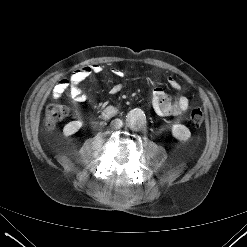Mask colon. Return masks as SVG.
<instances>
[{"mask_svg": "<svg viewBox=\"0 0 247 247\" xmlns=\"http://www.w3.org/2000/svg\"><path fill=\"white\" fill-rule=\"evenodd\" d=\"M67 115V108L61 104L50 101L45 106L44 123L49 130L56 128L57 124L61 122ZM205 120V113L203 110L196 108L189 114V121L192 127L200 128Z\"/></svg>", "mask_w": 247, "mask_h": 247, "instance_id": "obj_1", "label": "colon"}]
</instances>
